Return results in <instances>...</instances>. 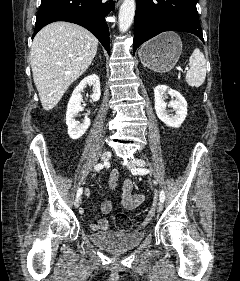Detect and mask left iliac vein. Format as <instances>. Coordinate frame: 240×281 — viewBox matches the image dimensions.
<instances>
[{
    "instance_id": "1",
    "label": "left iliac vein",
    "mask_w": 240,
    "mask_h": 281,
    "mask_svg": "<svg viewBox=\"0 0 240 281\" xmlns=\"http://www.w3.org/2000/svg\"><path fill=\"white\" fill-rule=\"evenodd\" d=\"M138 166H139V167L144 166V162H143V161H139V162H138ZM132 169H134V168H132ZM156 209H157L158 212H162V210H163V204H162V202H158V203H157Z\"/></svg>"
}]
</instances>
